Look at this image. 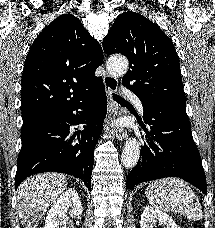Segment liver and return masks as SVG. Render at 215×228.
Returning a JSON list of instances; mask_svg holds the SVG:
<instances>
[{
	"mask_svg": "<svg viewBox=\"0 0 215 228\" xmlns=\"http://www.w3.org/2000/svg\"><path fill=\"white\" fill-rule=\"evenodd\" d=\"M66 188L65 176L54 172L37 174L24 180L16 192L19 218L23 228H37L42 214Z\"/></svg>",
	"mask_w": 215,
	"mask_h": 228,
	"instance_id": "6515ba94",
	"label": "liver"
}]
</instances>
